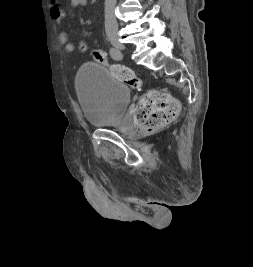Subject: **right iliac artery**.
Wrapping results in <instances>:
<instances>
[{
    "label": "right iliac artery",
    "instance_id": "right-iliac-artery-1",
    "mask_svg": "<svg viewBox=\"0 0 253 267\" xmlns=\"http://www.w3.org/2000/svg\"><path fill=\"white\" fill-rule=\"evenodd\" d=\"M110 55L114 60H117V61L123 58L122 53L114 47L110 49Z\"/></svg>",
    "mask_w": 253,
    "mask_h": 267
}]
</instances>
